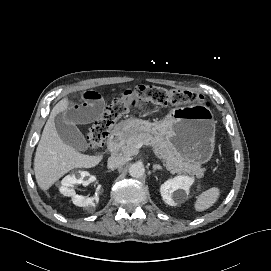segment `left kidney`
<instances>
[{
    "instance_id": "1",
    "label": "left kidney",
    "mask_w": 271,
    "mask_h": 271,
    "mask_svg": "<svg viewBox=\"0 0 271 271\" xmlns=\"http://www.w3.org/2000/svg\"><path fill=\"white\" fill-rule=\"evenodd\" d=\"M192 183L193 179L187 176H178L166 181L160 188L164 202L171 206H176L178 203L183 202L189 193Z\"/></svg>"
}]
</instances>
